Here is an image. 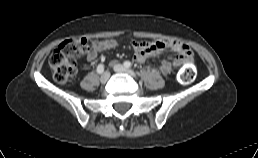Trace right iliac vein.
Masks as SVG:
<instances>
[{"label": "right iliac vein", "instance_id": "obj_1", "mask_svg": "<svg viewBox=\"0 0 258 158\" xmlns=\"http://www.w3.org/2000/svg\"><path fill=\"white\" fill-rule=\"evenodd\" d=\"M109 78H110V72H109V71H105V72L101 75L100 81H101L102 83H105V82H107V81L109 80Z\"/></svg>", "mask_w": 258, "mask_h": 158}]
</instances>
